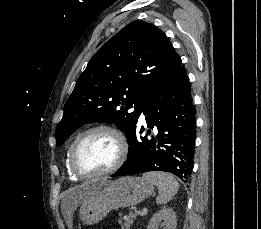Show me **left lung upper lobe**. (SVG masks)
Returning <instances> with one entry per match:
<instances>
[{"label": "left lung upper lobe", "instance_id": "left-lung-upper-lobe-1", "mask_svg": "<svg viewBox=\"0 0 261 229\" xmlns=\"http://www.w3.org/2000/svg\"><path fill=\"white\" fill-rule=\"evenodd\" d=\"M181 64L160 29L142 20L129 23L95 53L79 76L56 128V146L83 124L97 121L116 123L129 140L149 93Z\"/></svg>", "mask_w": 261, "mask_h": 229}]
</instances>
